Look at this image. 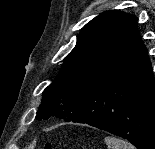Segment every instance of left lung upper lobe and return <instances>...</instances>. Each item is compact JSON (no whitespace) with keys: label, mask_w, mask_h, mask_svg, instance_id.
Returning a JSON list of instances; mask_svg holds the SVG:
<instances>
[{"label":"left lung upper lobe","mask_w":155,"mask_h":149,"mask_svg":"<svg viewBox=\"0 0 155 149\" xmlns=\"http://www.w3.org/2000/svg\"><path fill=\"white\" fill-rule=\"evenodd\" d=\"M136 27L135 16L119 11L103 12L87 23L59 75L45 88L36 119L68 117L112 65Z\"/></svg>","instance_id":"5c2ea615"}]
</instances>
